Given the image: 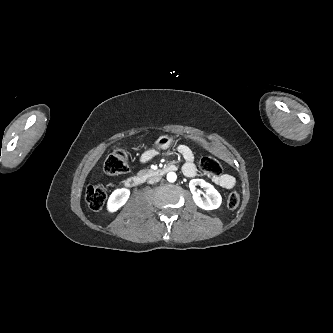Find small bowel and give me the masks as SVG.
Segmentation results:
<instances>
[{
    "mask_svg": "<svg viewBox=\"0 0 333 333\" xmlns=\"http://www.w3.org/2000/svg\"><path fill=\"white\" fill-rule=\"evenodd\" d=\"M178 152L184 159V165L182 168L183 173L188 177H194L197 173V170H196L193 151L191 150V148H189L186 145H180V146H178ZM156 155H157L156 150H154V149L146 150L141 155L140 162L142 164H145V163L149 162L150 160H152ZM209 178L215 185H217L223 189H231L235 185L234 177L229 174L223 173V174H219L216 176H211Z\"/></svg>",
    "mask_w": 333,
    "mask_h": 333,
    "instance_id": "1",
    "label": "small bowel"
}]
</instances>
